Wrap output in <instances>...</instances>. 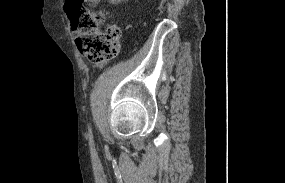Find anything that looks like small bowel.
Segmentation results:
<instances>
[{"instance_id":"1","label":"small bowel","mask_w":285,"mask_h":183,"mask_svg":"<svg viewBox=\"0 0 285 183\" xmlns=\"http://www.w3.org/2000/svg\"><path fill=\"white\" fill-rule=\"evenodd\" d=\"M100 0H87L90 5H96ZM105 63H100L99 66H103Z\"/></svg>"}]
</instances>
